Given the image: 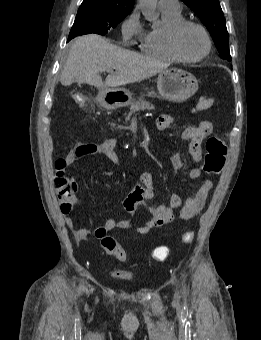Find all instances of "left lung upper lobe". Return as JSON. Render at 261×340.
I'll use <instances>...</instances> for the list:
<instances>
[{
  "label": "left lung upper lobe",
  "mask_w": 261,
  "mask_h": 340,
  "mask_svg": "<svg viewBox=\"0 0 261 340\" xmlns=\"http://www.w3.org/2000/svg\"><path fill=\"white\" fill-rule=\"evenodd\" d=\"M200 18L210 32L220 55L231 60L229 36L219 0H182Z\"/></svg>",
  "instance_id": "left-lung-upper-lobe-1"
}]
</instances>
